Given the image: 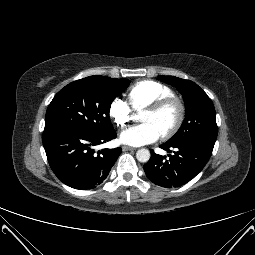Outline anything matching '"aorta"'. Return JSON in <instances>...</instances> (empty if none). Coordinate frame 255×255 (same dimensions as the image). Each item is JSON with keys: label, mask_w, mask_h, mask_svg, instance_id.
Returning a JSON list of instances; mask_svg holds the SVG:
<instances>
[{"label": "aorta", "mask_w": 255, "mask_h": 255, "mask_svg": "<svg viewBox=\"0 0 255 255\" xmlns=\"http://www.w3.org/2000/svg\"><path fill=\"white\" fill-rule=\"evenodd\" d=\"M150 151L148 149H145V148H142V149H139L137 152H136V158L139 162H142V163H146L149 161L150 159Z\"/></svg>", "instance_id": "obj_1"}]
</instances>
